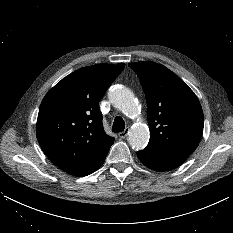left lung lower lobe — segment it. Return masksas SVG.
Here are the masks:
<instances>
[{"instance_id":"obj_1","label":"left lung lower lobe","mask_w":233,"mask_h":233,"mask_svg":"<svg viewBox=\"0 0 233 233\" xmlns=\"http://www.w3.org/2000/svg\"><path fill=\"white\" fill-rule=\"evenodd\" d=\"M140 161L154 171H167L180 166L189 155L173 152H165L146 147L137 152Z\"/></svg>"}]
</instances>
